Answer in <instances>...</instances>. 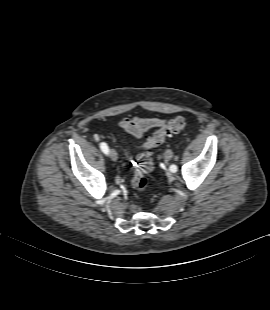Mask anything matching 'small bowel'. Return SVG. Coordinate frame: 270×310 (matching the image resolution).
<instances>
[{
	"instance_id": "c3829d8e",
	"label": "small bowel",
	"mask_w": 270,
	"mask_h": 310,
	"mask_svg": "<svg viewBox=\"0 0 270 310\" xmlns=\"http://www.w3.org/2000/svg\"><path fill=\"white\" fill-rule=\"evenodd\" d=\"M118 124L135 139H140L147 131L163 127L166 124V119L157 117L141 118L138 116L123 117Z\"/></svg>"
}]
</instances>
